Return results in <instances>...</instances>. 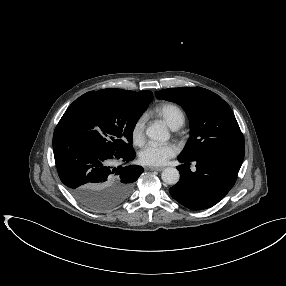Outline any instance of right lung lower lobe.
Listing matches in <instances>:
<instances>
[{
  "label": "right lung lower lobe",
  "instance_id": "1",
  "mask_svg": "<svg viewBox=\"0 0 286 286\" xmlns=\"http://www.w3.org/2000/svg\"><path fill=\"white\" fill-rule=\"evenodd\" d=\"M53 150L60 180L89 208L107 210L122 203L143 173L142 167L127 164L135 158L134 150L108 153L61 122L54 131Z\"/></svg>",
  "mask_w": 286,
  "mask_h": 286
}]
</instances>
